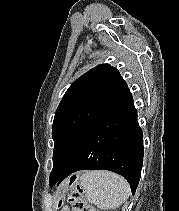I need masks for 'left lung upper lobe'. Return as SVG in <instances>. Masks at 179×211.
<instances>
[{
	"mask_svg": "<svg viewBox=\"0 0 179 211\" xmlns=\"http://www.w3.org/2000/svg\"><path fill=\"white\" fill-rule=\"evenodd\" d=\"M126 86L119 71L98 65L79 77L66 91L54 117L53 169L61 174L76 157L93 125Z\"/></svg>",
	"mask_w": 179,
	"mask_h": 211,
	"instance_id": "5c2ea615",
	"label": "left lung upper lobe"
}]
</instances>
